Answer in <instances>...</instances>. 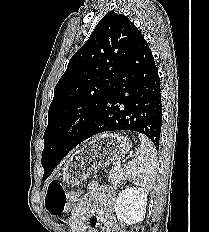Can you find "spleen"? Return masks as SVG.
I'll use <instances>...</instances> for the list:
<instances>
[{
    "label": "spleen",
    "instance_id": "1",
    "mask_svg": "<svg viewBox=\"0 0 209 232\" xmlns=\"http://www.w3.org/2000/svg\"><path fill=\"white\" fill-rule=\"evenodd\" d=\"M141 142L135 158L127 163L126 174L135 183L146 190H151L157 169V154L152 142L142 134L138 135Z\"/></svg>",
    "mask_w": 209,
    "mask_h": 232
}]
</instances>
